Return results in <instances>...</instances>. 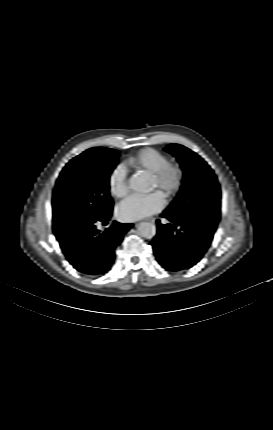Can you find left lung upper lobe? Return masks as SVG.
Listing matches in <instances>:
<instances>
[{
    "instance_id": "1",
    "label": "left lung upper lobe",
    "mask_w": 273,
    "mask_h": 430,
    "mask_svg": "<svg viewBox=\"0 0 273 430\" xmlns=\"http://www.w3.org/2000/svg\"><path fill=\"white\" fill-rule=\"evenodd\" d=\"M166 151L177 158L183 169L182 187L168 209L183 214L184 210L203 195L220 198L217 177L200 156L179 144L168 145Z\"/></svg>"
}]
</instances>
